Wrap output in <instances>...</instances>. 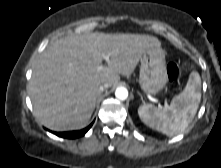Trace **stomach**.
I'll list each match as a JSON object with an SVG mask.
<instances>
[{"mask_svg":"<svg viewBox=\"0 0 221 168\" xmlns=\"http://www.w3.org/2000/svg\"><path fill=\"white\" fill-rule=\"evenodd\" d=\"M165 53L162 49L148 50L141 57L139 84L145 94L156 95L167 84Z\"/></svg>","mask_w":221,"mask_h":168,"instance_id":"obj_1","label":"stomach"}]
</instances>
